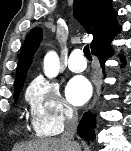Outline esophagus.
<instances>
[{
  "label": "esophagus",
  "instance_id": "1",
  "mask_svg": "<svg viewBox=\"0 0 131 151\" xmlns=\"http://www.w3.org/2000/svg\"><path fill=\"white\" fill-rule=\"evenodd\" d=\"M98 92H99V88H98V86H96V89H95V92H94V96H93L92 102L90 104V108H93L95 106L96 101L98 99Z\"/></svg>",
  "mask_w": 131,
  "mask_h": 151
}]
</instances>
